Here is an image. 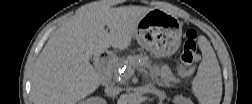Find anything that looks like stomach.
Wrapping results in <instances>:
<instances>
[{
	"label": "stomach",
	"mask_w": 252,
	"mask_h": 104,
	"mask_svg": "<svg viewBox=\"0 0 252 104\" xmlns=\"http://www.w3.org/2000/svg\"><path fill=\"white\" fill-rule=\"evenodd\" d=\"M133 38L156 56H171L180 47L182 23L162 9H153L140 20Z\"/></svg>",
	"instance_id": "0dacf381"
}]
</instances>
